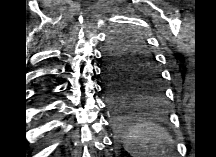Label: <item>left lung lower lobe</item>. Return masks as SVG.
Masks as SVG:
<instances>
[{
  "label": "left lung lower lobe",
  "mask_w": 216,
  "mask_h": 157,
  "mask_svg": "<svg viewBox=\"0 0 216 157\" xmlns=\"http://www.w3.org/2000/svg\"><path fill=\"white\" fill-rule=\"evenodd\" d=\"M104 89L107 93L111 110L114 114V127L117 133L124 135L135 122L132 114L135 98L132 91H126L121 85L113 83L107 76V70L103 67Z\"/></svg>",
  "instance_id": "1"
}]
</instances>
